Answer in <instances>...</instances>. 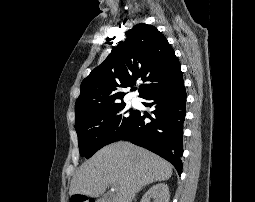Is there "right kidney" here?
<instances>
[{
	"label": "right kidney",
	"mask_w": 255,
	"mask_h": 202,
	"mask_svg": "<svg viewBox=\"0 0 255 202\" xmlns=\"http://www.w3.org/2000/svg\"><path fill=\"white\" fill-rule=\"evenodd\" d=\"M170 194L169 188L165 183H159L151 187L145 195L142 197L140 202H169Z\"/></svg>",
	"instance_id": "ca27d5eb"
}]
</instances>
